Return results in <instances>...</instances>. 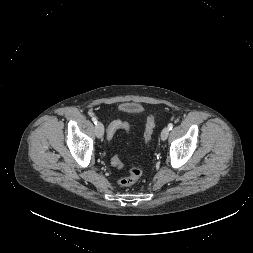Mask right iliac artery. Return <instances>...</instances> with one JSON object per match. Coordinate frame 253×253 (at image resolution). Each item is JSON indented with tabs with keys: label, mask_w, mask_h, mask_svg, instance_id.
I'll return each instance as SVG.
<instances>
[{
	"label": "right iliac artery",
	"mask_w": 253,
	"mask_h": 253,
	"mask_svg": "<svg viewBox=\"0 0 253 253\" xmlns=\"http://www.w3.org/2000/svg\"><path fill=\"white\" fill-rule=\"evenodd\" d=\"M92 121L94 122L95 125H97V119H96V117H92Z\"/></svg>",
	"instance_id": "82829eb1"
}]
</instances>
